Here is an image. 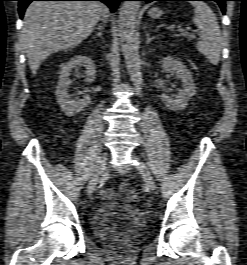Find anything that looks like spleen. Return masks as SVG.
Masks as SVG:
<instances>
[{
	"label": "spleen",
	"instance_id": "3e777b00",
	"mask_svg": "<svg viewBox=\"0 0 247 265\" xmlns=\"http://www.w3.org/2000/svg\"><path fill=\"white\" fill-rule=\"evenodd\" d=\"M190 3L194 7L193 22L200 33V41L197 42L196 47L213 65H217L222 49V37L217 18L205 2Z\"/></svg>",
	"mask_w": 247,
	"mask_h": 265
}]
</instances>
